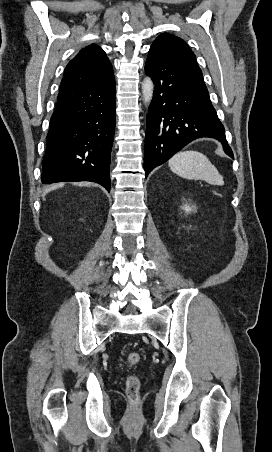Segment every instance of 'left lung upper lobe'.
Masks as SVG:
<instances>
[{
  "instance_id": "left-lung-upper-lobe-1",
  "label": "left lung upper lobe",
  "mask_w": 272,
  "mask_h": 452,
  "mask_svg": "<svg viewBox=\"0 0 272 452\" xmlns=\"http://www.w3.org/2000/svg\"><path fill=\"white\" fill-rule=\"evenodd\" d=\"M151 48L165 50L173 55H176L184 59L188 63L200 69L199 66L197 65L194 53L191 51V49L188 47L185 41L179 37L173 36L168 33H163L156 38Z\"/></svg>"
}]
</instances>
